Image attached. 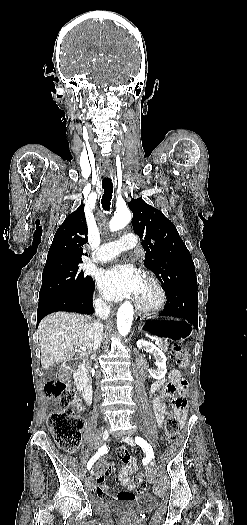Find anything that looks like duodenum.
Segmentation results:
<instances>
[{
  "mask_svg": "<svg viewBox=\"0 0 247 525\" xmlns=\"http://www.w3.org/2000/svg\"><path fill=\"white\" fill-rule=\"evenodd\" d=\"M71 369L77 383V387L81 392L87 404L92 403V387L86 377V364L82 360H75L71 363Z\"/></svg>",
  "mask_w": 247,
  "mask_h": 525,
  "instance_id": "410a0bca",
  "label": "duodenum"
}]
</instances>
